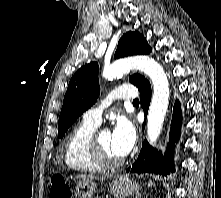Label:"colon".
Listing matches in <instances>:
<instances>
[{"mask_svg":"<svg viewBox=\"0 0 221 198\" xmlns=\"http://www.w3.org/2000/svg\"><path fill=\"white\" fill-rule=\"evenodd\" d=\"M49 198H71L70 187L62 175H54L51 178Z\"/></svg>","mask_w":221,"mask_h":198,"instance_id":"5ec220e1","label":"colon"}]
</instances>
